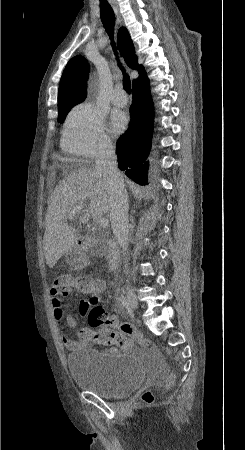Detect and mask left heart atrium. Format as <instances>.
I'll list each match as a JSON object with an SVG mask.
<instances>
[{
  "label": "left heart atrium",
  "instance_id": "1",
  "mask_svg": "<svg viewBox=\"0 0 245 450\" xmlns=\"http://www.w3.org/2000/svg\"><path fill=\"white\" fill-rule=\"evenodd\" d=\"M128 124V117L124 112L118 111L112 115L111 129L118 134L123 131Z\"/></svg>",
  "mask_w": 245,
  "mask_h": 450
}]
</instances>
